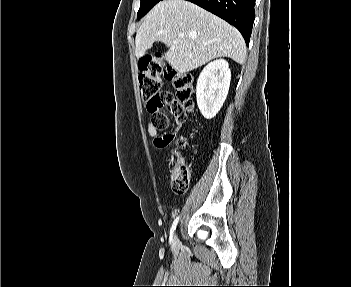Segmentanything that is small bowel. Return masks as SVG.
<instances>
[{
	"instance_id": "c3829d8e",
	"label": "small bowel",
	"mask_w": 351,
	"mask_h": 287,
	"mask_svg": "<svg viewBox=\"0 0 351 287\" xmlns=\"http://www.w3.org/2000/svg\"><path fill=\"white\" fill-rule=\"evenodd\" d=\"M185 121V118L176 117L177 130H179ZM147 132L149 135L155 137L154 147L155 148H170L171 142L174 140L177 132L169 133L164 136H158V130H156L151 123L147 125Z\"/></svg>"
}]
</instances>
